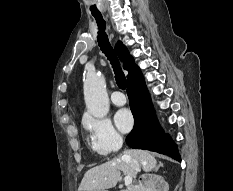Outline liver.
<instances>
[{
  "mask_svg": "<svg viewBox=\"0 0 233 191\" xmlns=\"http://www.w3.org/2000/svg\"><path fill=\"white\" fill-rule=\"evenodd\" d=\"M135 159L145 172H150L156 167L157 160L148 151L144 150H125L117 158L104 164L89 169L79 185L78 191H104L116 186L121 171L131 177L137 175L129 163V160Z\"/></svg>",
  "mask_w": 233,
  "mask_h": 191,
  "instance_id": "liver-1",
  "label": "liver"
}]
</instances>
